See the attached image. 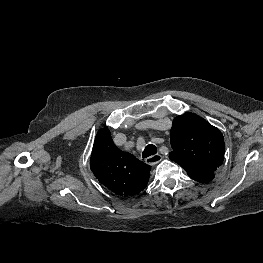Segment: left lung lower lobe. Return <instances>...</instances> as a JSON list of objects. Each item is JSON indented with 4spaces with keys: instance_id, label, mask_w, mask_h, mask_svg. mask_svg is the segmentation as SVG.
Wrapping results in <instances>:
<instances>
[{
    "instance_id": "obj_1",
    "label": "left lung lower lobe",
    "mask_w": 263,
    "mask_h": 263,
    "mask_svg": "<svg viewBox=\"0 0 263 263\" xmlns=\"http://www.w3.org/2000/svg\"><path fill=\"white\" fill-rule=\"evenodd\" d=\"M194 179H197V178H194ZM213 178H209V177H205L203 179H199L198 181H201L202 183H207L209 181H211ZM197 181V180H196Z\"/></svg>"
}]
</instances>
